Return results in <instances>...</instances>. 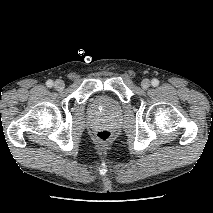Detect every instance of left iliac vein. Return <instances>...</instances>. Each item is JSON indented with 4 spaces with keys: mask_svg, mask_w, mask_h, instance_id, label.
<instances>
[{
    "mask_svg": "<svg viewBox=\"0 0 213 213\" xmlns=\"http://www.w3.org/2000/svg\"><path fill=\"white\" fill-rule=\"evenodd\" d=\"M141 86L143 89H148L150 86V81L148 79H143L141 82Z\"/></svg>",
    "mask_w": 213,
    "mask_h": 213,
    "instance_id": "left-iliac-vein-1",
    "label": "left iliac vein"
}]
</instances>
